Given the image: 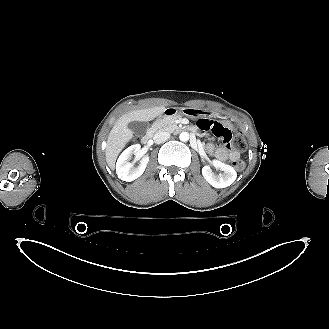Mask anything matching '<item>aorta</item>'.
Here are the masks:
<instances>
[{"mask_svg": "<svg viewBox=\"0 0 329 329\" xmlns=\"http://www.w3.org/2000/svg\"><path fill=\"white\" fill-rule=\"evenodd\" d=\"M179 139L182 141V142H187L189 140V133L188 132H182L180 135H179Z\"/></svg>", "mask_w": 329, "mask_h": 329, "instance_id": "aorta-1", "label": "aorta"}]
</instances>
